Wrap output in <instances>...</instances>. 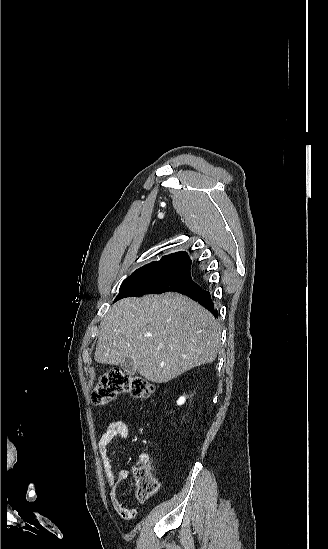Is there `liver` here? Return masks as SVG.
Wrapping results in <instances>:
<instances>
[{
	"instance_id": "6515ba94",
	"label": "liver",
	"mask_w": 328,
	"mask_h": 549,
	"mask_svg": "<svg viewBox=\"0 0 328 549\" xmlns=\"http://www.w3.org/2000/svg\"><path fill=\"white\" fill-rule=\"evenodd\" d=\"M221 331L212 313L178 293L122 299L99 327L94 359L119 365L135 361L142 377L168 383L192 367L213 363Z\"/></svg>"
}]
</instances>
